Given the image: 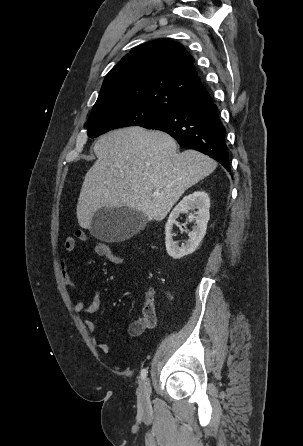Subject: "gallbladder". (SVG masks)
<instances>
[{
  "instance_id": "1",
  "label": "gallbladder",
  "mask_w": 303,
  "mask_h": 446,
  "mask_svg": "<svg viewBox=\"0 0 303 446\" xmlns=\"http://www.w3.org/2000/svg\"><path fill=\"white\" fill-rule=\"evenodd\" d=\"M144 214L133 209L103 208L91 219V234L107 242L123 241L138 233L145 226Z\"/></svg>"
}]
</instances>
